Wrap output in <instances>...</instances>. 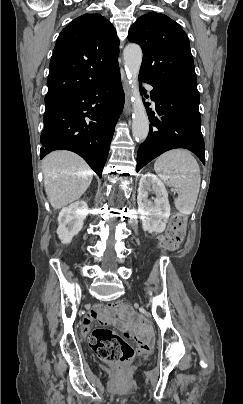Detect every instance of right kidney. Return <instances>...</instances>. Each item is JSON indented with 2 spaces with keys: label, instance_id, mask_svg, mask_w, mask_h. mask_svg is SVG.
Returning a JSON list of instances; mask_svg holds the SVG:
<instances>
[{
  "label": "right kidney",
  "instance_id": "1",
  "mask_svg": "<svg viewBox=\"0 0 243 404\" xmlns=\"http://www.w3.org/2000/svg\"><path fill=\"white\" fill-rule=\"evenodd\" d=\"M87 214L84 202H74L68 208H63L58 216V238L62 244H70L73 236H77L83 228Z\"/></svg>",
  "mask_w": 243,
  "mask_h": 404
}]
</instances>
